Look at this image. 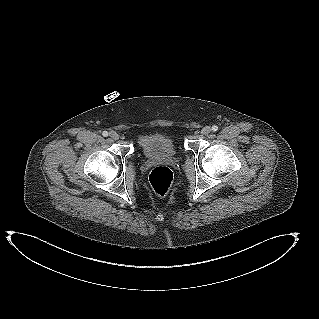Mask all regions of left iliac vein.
Wrapping results in <instances>:
<instances>
[{
  "label": "left iliac vein",
  "instance_id": "obj_1",
  "mask_svg": "<svg viewBox=\"0 0 319 319\" xmlns=\"http://www.w3.org/2000/svg\"><path fill=\"white\" fill-rule=\"evenodd\" d=\"M211 127L210 126H205V127H203L202 128V130H201V133L203 134V135H208L210 132H211Z\"/></svg>",
  "mask_w": 319,
  "mask_h": 319
}]
</instances>
